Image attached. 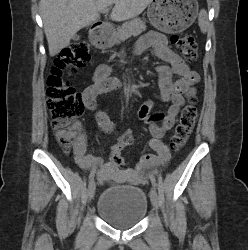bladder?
<instances>
[{
    "label": "bladder",
    "instance_id": "obj_1",
    "mask_svg": "<svg viewBox=\"0 0 248 250\" xmlns=\"http://www.w3.org/2000/svg\"><path fill=\"white\" fill-rule=\"evenodd\" d=\"M96 211L111 226L128 229L137 225L146 216L148 201L144 191L139 187L113 186L101 193Z\"/></svg>",
    "mask_w": 248,
    "mask_h": 250
}]
</instances>
